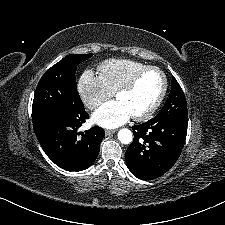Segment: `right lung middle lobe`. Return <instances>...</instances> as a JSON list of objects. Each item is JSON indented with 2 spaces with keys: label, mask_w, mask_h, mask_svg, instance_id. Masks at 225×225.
<instances>
[{
  "label": "right lung middle lobe",
  "mask_w": 225,
  "mask_h": 225,
  "mask_svg": "<svg viewBox=\"0 0 225 225\" xmlns=\"http://www.w3.org/2000/svg\"><path fill=\"white\" fill-rule=\"evenodd\" d=\"M92 55V53L67 55L44 73L34 95L33 124L64 109H76L83 106L77 91L76 68Z\"/></svg>",
  "instance_id": "1"
}]
</instances>
